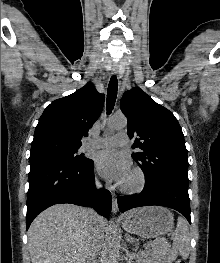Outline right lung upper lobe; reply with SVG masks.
<instances>
[{
  "label": "right lung upper lobe",
  "mask_w": 220,
  "mask_h": 263,
  "mask_svg": "<svg viewBox=\"0 0 220 263\" xmlns=\"http://www.w3.org/2000/svg\"><path fill=\"white\" fill-rule=\"evenodd\" d=\"M104 95L92 83L46 107L36 126L31 155L50 149L80 147L81 138L100 116Z\"/></svg>",
  "instance_id": "obj_1"
}]
</instances>
